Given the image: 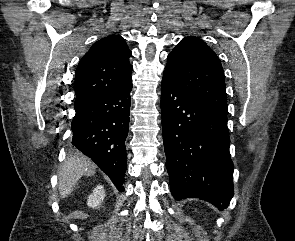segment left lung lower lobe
<instances>
[{
  "label": "left lung lower lobe",
  "instance_id": "left-lung-lower-lobe-1",
  "mask_svg": "<svg viewBox=\"0 0 295 241\" xmlns=\"http://www.w3.org/2000/svg\"><path fill=\"white\" fill-rule=\"evenodd\" d=\"M161 112L173 197L200 198L223 210L234 193L227 112L190 95L165 74Z\"/></svg>",
  "mask_w": 295,
  "mask_h": 241
}]
</instances>
